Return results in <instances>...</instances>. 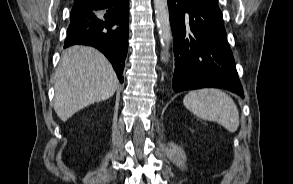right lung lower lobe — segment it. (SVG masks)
Listing matches in <instances>:
<instances>
[{
    "label": "right lung lower lobe",
    "instance_id": "right-lung-lower-lobe-1",
    "mask_svg": "<svg viewBox=\"0 0 293 184\" xmlns=\"http://www.w3.org/2000/svg\"><path fill=\"white\" fill-rule=\"evenodd\" d=\"M64 47L84 44L99 49L111 62L119 81L128 51L129 0L74 4Z\"/></svg>",
    "mask_w": 293,
    "mask_h": 184
}]
</instances>
